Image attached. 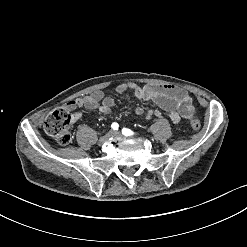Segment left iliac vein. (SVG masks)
<instances>
[{
	"mask_svg": "<svg viewBox=\"0 0 247 247\" xmlns=\"http://www.w3.org/2000/svg\"><path fill=\"white\" fill-rule=\"evenodd\" d=\"M113 136H117V137H122V133L120 131H115ZM129 139H134L133 137H129Z\"/></svg>",
	"mask_w": 247,
	"mask_h": 247,
	"instance_id": "1",
	"label": "left iliac vein"
}]
</instances>
